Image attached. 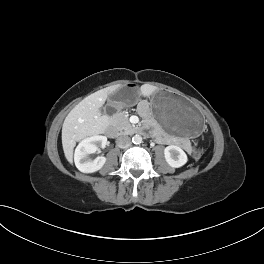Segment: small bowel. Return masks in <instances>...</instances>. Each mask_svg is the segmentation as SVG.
Here are the masks:
<instances>
[{
    "label": "small bowel",
    "instance_id": "c3829d8e",
    "mask_svg": "<svg viewBox=\"0 0 264 264\" xmlns=\"http://www.w3.org/2000/svg\"><path fill=\"white\" fill-rule=\"evenodd\" d=\"M157 136H158L159 138H161V134H160L159 132H157ZM184 146H185L186 148H189V144H188L187 142H184Z\"/></svg>",
    "mask_w": 264,
    "mask_h": 264
}]
</instances>
